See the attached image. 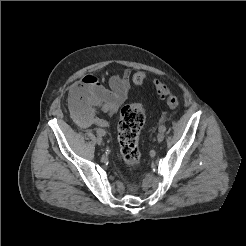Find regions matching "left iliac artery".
<instances>
[{"label":"left iliac artery","instance_id":"44dca946","mask_svg":"<svg viewBox=\"0 0 246 246\" xmlns=\"http://www.w3.org/2000/svg\"><path fill=\"white\" fill-rule=\"evenodd\" d=\"M159 131H160V132H165V131H166V127H165L164 125H161V126L159 127Z\"/></svg>","mask_w":246,"mask_h":246}]
</instances>
